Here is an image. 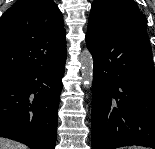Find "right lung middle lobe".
Returning a JSON list of instances; mask_svg holds the SVG:
<instances>
[{
    "instance_id": "right-lung-middle-lobe-1",
    "label": "right lung middle lobe",
    "mask_w": 155,
    "mask_h": 149,
    "mask_svg": "<svg viewBox=\"0 0 155 149\" xmlns=\"http://www.w3.org/2000/svg\"><path fill=\"white\" fill-rule=\"evenodd\" d=\"M20 75L17 72H0V87L16 83Z\"/></svg>"
}]
</instances>
